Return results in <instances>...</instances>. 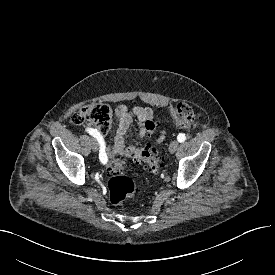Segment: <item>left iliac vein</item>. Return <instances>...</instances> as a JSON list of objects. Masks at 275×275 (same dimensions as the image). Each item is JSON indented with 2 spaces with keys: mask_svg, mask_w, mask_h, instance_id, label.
Instances as JSON below:
<instances>
[{
  "mask_svg": "<svg viewBox=\"0 0 275 275\" xmlns=\"http://www.w3.org/2000/svg\"><path fill=\"white\" fill-rule=\"evenodd\" d=\"M178 149V142L177 141H172L169 146V151L170 153H175Z\"/></svg>",
  "mask_w": 275,
  "mask_h": 275,
  "instance_id": "obj_1",
  "label": "left iliac vein"
}]
</instances>
